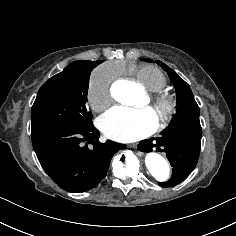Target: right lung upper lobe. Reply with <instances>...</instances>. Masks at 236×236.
Listing matches in <instances>:
<instances>
[{"mask_svg": "<svg viewBox=\"0 0 236 236\" xmlns=\"http://www.w3.org/2000/svg\"><path fill=\"white\" fill-rule=\"evenodd\" d=\"M100 60L99 61H95V62H92V61H75V62H72V63H83V64H87V65H91V66H97L100 64Z\"/></svg>", "mask_w": 236, "mask_h": 236, "instance_id": "right-lung-upper-lobe-1", "label": "right lung upper lobe"}]
</instances>
